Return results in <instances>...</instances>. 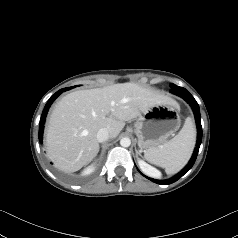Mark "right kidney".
Masks as SVG:
<instances>
[{"label":"right kidney","instance_id":"ca27d5eb","mask_svg":"<svg viewBox=\"0 0 238 238\" xmlns=\"http://www.w3.org/2000/svg\"><path fill=\"white\" fill-rule=\"evenodd\" d=\"M92 171V168H88L85 172L90 173Z\"/></svg>","mask_w":238,"mask_h":238}]
</instances>
